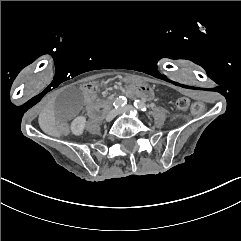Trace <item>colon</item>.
Returning a JSON list of instances; mask_svg holds the SVG:
<instances>
[{
    "mask_svg": "<svg viewBox=\"0 0 241 241\" xmlns=\"http://www.w3.org/2000/svg\"><path fill=\"white\" fill-rule=\"evenodd\" d=\"M177 108L181 111H188L193 108L194 113L201 114L204 111V105L201 102H196L194 105H191V102L186 98H180L177 100Z\"/></svg>",
    "mask_w": 241,
    "mask_h": 241,
    "instance_id": "5ec220e1",
    "label": "colon"
}]
</instances>
